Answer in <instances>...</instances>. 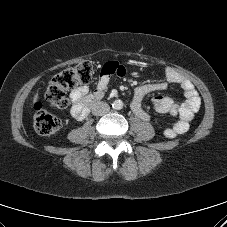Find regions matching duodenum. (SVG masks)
Masks as SVG:
<instances>
[{"label": "duodenum", "instance_id": "1", "mask_svg": "<svg viewBox=\"0 0 227 227\" xmlns=\"http://www.w3.org/2000/svg\"><path fill=\"white\" fill-rule=\"evenodd\" d=\"M100 99H101V97H98V96L92 97V98L89 100V102L87 103V110H89V108H90L92 105L98 103V102L100 101Z\"/></svg>", "mask_w": 227, "mask_h": 227}]
</instances>
